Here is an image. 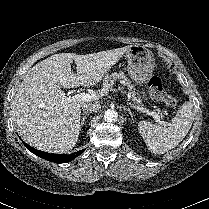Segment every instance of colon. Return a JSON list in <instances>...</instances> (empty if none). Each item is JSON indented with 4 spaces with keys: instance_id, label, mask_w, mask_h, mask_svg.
<instances>
[{
    "instance_id": "1",
    "label": "colon",
    "mask_w": 209,
    "mask_h": 209,
    "mask_svg": "<svg viewBox=\"0 0 209 209\" xmlns=\"http://www.w3.org/2000/svg\"><path fill=\"white\" fill-rule=\"evenodd\" d=\"M148 88L151 97L155 101L161 102L167 107H174L176 105V99L165 91L159 77L152 76L148 82Z\"/></svg>"
}]
</instances>
